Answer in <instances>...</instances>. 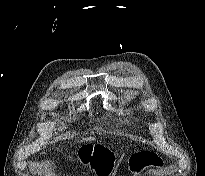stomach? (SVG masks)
I'll use <instances>...</instances> for the list:
<instances>
[{"label":"stomach","instance_id":"0dacf381","mask_svg":"<svg viewBox=\"0 0 205 176\" xmlns=\"http://www.w3.org/2000/svg\"><path fill=\"white\" fill-rule=\"evenodd\" d=\"M95 145H92V149H94Z\"/></svg>","mask_w":205,"mask_h":176}]
</instances>
